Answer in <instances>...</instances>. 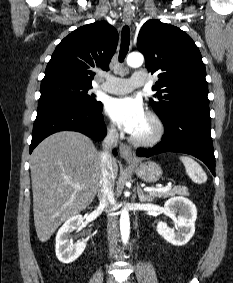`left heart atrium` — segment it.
<instances>
[{
	"instance_id": "39dd6f15",
	"label": "left heart atrium",
	"mask_w": 233,
	"mask_h": 283,
	"mask_svg": "<svg viewBox=\"0 0 233 283\" xmlns=\"http://www.w3.org/2000/svg\"><path fill=\"white\" fill-rule=\"evenodd\" d=\"M106 113L124 131L134 134L146 113L142 102L133 96L111 98L106 105Z\"/></svg>"
}]
</instances>
